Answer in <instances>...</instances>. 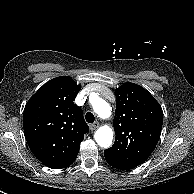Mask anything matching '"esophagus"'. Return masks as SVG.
<instances>
[{
    "label": "esophagus",
    "instance_id": "34e87169",
    "mask_svg": "<svg viewBox=\"0 0 194 194\" xmlns=\"http://www.w3.org/2000/svg\"><path fill=\"white\" fill-rule=\"evenodd\" d=\"M99 125H100L99 122H94L93 124L90 125V130L94 131L99 127Z\"/></svg>",
    "mask_w": 194,
    "mask_h": 194
}]
</instances>
